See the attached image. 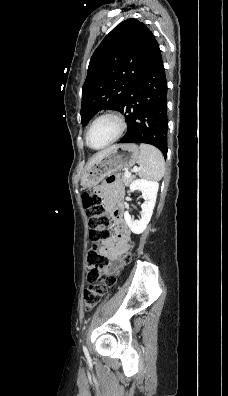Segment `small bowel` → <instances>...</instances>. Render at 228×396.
Listing matches in <instances>:
<instances>
[{
  "label": "small bowel",
  "mask_w": 228,
  "mask_h": 396,
  "mask_svg": "<svg viewBox=\"0 0 228 396\" xmlns=\"http://www.w3.org/2000/svg\"><path fill=\"white\" fill-rule=\"evenodd\" d=\"M96 192L104 199L106 208L113 211L116 230L114 239L104 241V248L101 252L108 259L115 260L129 250V229L124 221L120 206L123 189L119 185L117 177H110L107 183L96 187Z\"/></svg>",
  "instance_id": "c3829d8e"
}]
</instances>
